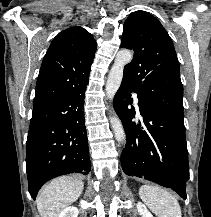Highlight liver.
I'll use <instances>...</instances> for the list:
<instances>
[{"label": "liver", "instance_id": "1", "mask_svg": "<svg viewBox=\"0 0 211 217\" xmlns=\"http://www.w3.org/2000/svg\"><path fill=\"white\" fill-rule=\"evenodd\" d=\"M84 184L81 180L63 176L52 180L37 197V209L41 217H58L81 195Z\"/></svg>", "mask_w": 211, "mask_h": 217}]
</instances>
